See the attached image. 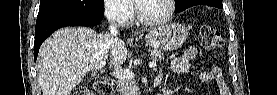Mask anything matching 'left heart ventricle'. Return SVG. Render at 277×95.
Masks as SVG:
<instances>
[{
    "mask_svg": "<svg viewBox=\"0 0 277 95\" xmlns=\"http://www.w3.org/2000/svg\"><path fill=\"white\" fill-rule=\"evenodd\" d=\"M140 14L148 19L163 18L168 13L166 0H142L139 3Z\"/></svg>",
    "mask_w": 277,
    "mask_h": 95,
    "instance_id": "b2bd125f",
    "label": "left heart ventricle"
}]
</instances>
